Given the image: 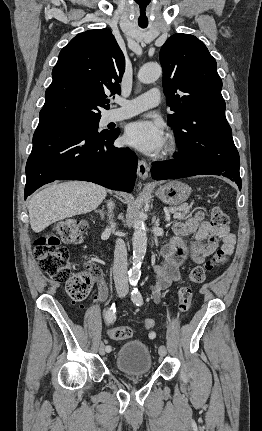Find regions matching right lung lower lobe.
<instances>
[{
	"label": "right lung lower lobe",
	"instance_id": "98d812e1",
	"mask_svg": "<svg viewBox=\"0 0 262 431\" xmlns=\"http://www.w3.org/2000/svg\"><path fill=\"white\" fill-rule=\"evenodd\" d=\"M119 131L98 133L74 122H39L26 164L25 199L54 180L94 182L131 192L137 157L113 146Z\"/></svg>",
	"mask_w": 262,
	"mask_h": 431
}]
</instances>
